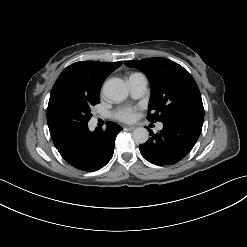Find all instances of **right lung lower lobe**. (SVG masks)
Instances as JSON below:
<instances>
[{"label": "right lung lower lobe", "mask_w": 247, "mask_h": 247, "mask_svg": "<svg viewBox=\"0 0 247 247\" xmlns=\"http://www.w3.org/2000/svg\"><path fill=\"white\" fill-rule=\"evenodd\" d=\"M122 127L108 122L105 131L91 132L88 126L52 138L63 159L71 166L93 172L104 167L112 158L115 138Z\"/></svg>", "instance_id": "98d812e1"}]
</instances>
